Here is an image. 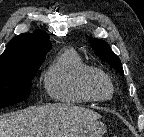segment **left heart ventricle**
<instances>
[{
    "label": "left heart ventricle",
    "instance_id": "b2bd125f",
    "mask_svg": "<svg viewBox=\"0 0 144 137\" xmlns=\"http://www.w3.org/2000/svg\"><path fill=\"white\" fill-rule=\"evenodd\" d=\"M95 89L100 96L107 97L110 95L111 89L109 84L103 79H97Z\"/></svg>",
    "mask_w": 144,
    "mask_h": 137
}]
</instances>
